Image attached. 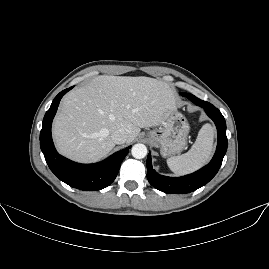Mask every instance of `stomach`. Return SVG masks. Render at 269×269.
Here are the masks:
<instances>
[{
	"instance_id": "0dacf381",
	"label": "stomach",
	"mask_w": 269,
	"mask_h": 269,
	"mask_svg": "<svg viewBox=\"0 0 269 269\" xmlns=\"http://www.w3.org/2000/svg\"><path fill=\"white\" fill-rule=\"evenodd\" d=\"M188 124L185 118L177 113H170L162 124L148 132V139L160 148L161 155L166 157L182 151L186 144Z\"/></svg>"
}]
</instances>
